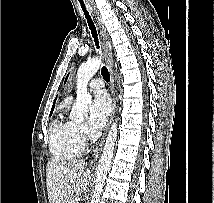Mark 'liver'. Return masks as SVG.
<instances>
[{
  "label": "liver",
  "instance_id": "liver-1",
  "mask_svg": "<svg viewBox=\"0 0 214 203\" xmlns=\"http://www.w3.org/2000/svg\"><path fill=\"white\" fill-rule=\"evenodd\" d=\"M83 160H51L46 167V185L49 203H67L73 194L89 186L90 170ZM86 169V171H84Z\"/></svg>",
  "mask_w": 214,
  "mask_h": 203
}]
</instances>
